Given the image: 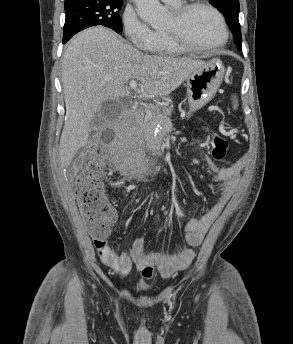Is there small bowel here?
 <instances>
[{"mask_svg": "<svg viewBox=\"0 0 293 344\" xmlns=\"http://www.w3.org/2000/svg\"><path fill=\"white\" fill-rule=\"evenodd\" d=\"M208 170L214 174L213 182L221 184V195L217 202L200 218L191 219L186 224V240L190 246L201 244L214 220L221 213L239 185V175L244 166L242 160L226 166L218 167L209 158L206 159ZM101 261L110 267L118 276L129 274L133 267L143 269L157 266L163 275L169 276L174 271L185 270L193 261L195 252L192 248L182 249L177 256H170L159 251L147 252L142 238L135 240L128 253H117L109 245L106 238L95 239Z\"/></svg>", "mask_w": 293, "mask_h": 344, "instance_id": "obj_1", "label": "small bowel"}]
</instances>
